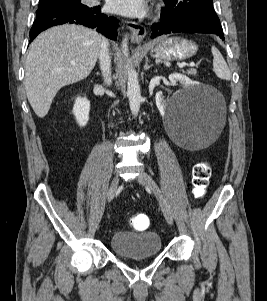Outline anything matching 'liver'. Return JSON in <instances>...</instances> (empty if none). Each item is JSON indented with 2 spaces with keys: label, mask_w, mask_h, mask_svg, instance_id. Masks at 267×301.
Returning <instances> with one entry per match:
<instances>
[{
  "label": "liver",
  "mask_w": 267,
  "mask_h": 301,
  "mask_svg": "<svg viewBox=\"0 0 267 301\" xmlns=\"http://www.w3.org/2000/svg\"><path fill=\"white\" fill-rule=\"evenodd\" d=\"M102 36L80 25H60L38 35L25 62L24 85L35 114L44 118L57 92L89 76Z\"/></svg>",
  "instance_id": "obj_1"
}]
</instances>
